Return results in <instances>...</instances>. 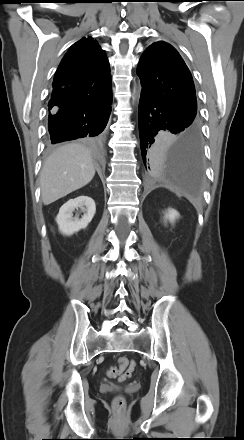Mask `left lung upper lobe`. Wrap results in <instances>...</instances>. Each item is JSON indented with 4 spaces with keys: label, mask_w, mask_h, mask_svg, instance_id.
Masks as SVG:
<instances>
[{
    "label": "left lung upper lobe",
    "mask_w": 244,
    "mask_h": 440,
    "mask_svg": "<svg viewBox=\"0 0 244 440\" xmlns=\"http://www.w3.org/2000/svg\"><path fill=\"white\" fill-rule=\"evenodd\" d=\"M137 75L144 92L166 105L181 121L199 129L197 101L191 73L170 44L159 41L142 55Z\"/></svg>",
    "instance_id": "left-lung-upper-lobe-1"
}]
</instances>
